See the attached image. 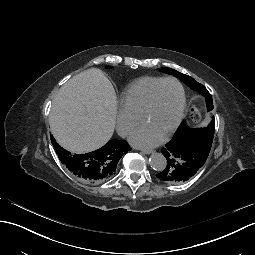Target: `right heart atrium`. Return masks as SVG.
<instances>
[{"mask_svg": "<svg viewBox=\"0 0 255 255\" xmlns=\"http://www.w3.org/2000/svg\"><path fill=\"white\" fill-rule=\"evenodd\" d=\"M140 117L121 106L116 108V128L122 137H127L137 126Z\"/></svg>", "mask_w": 255, "mask_h": 255, "instance_id": "1", "label": "right heart atrium"}]
</instances>
